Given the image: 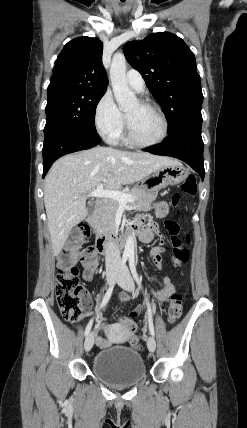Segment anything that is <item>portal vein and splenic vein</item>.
Returning a JSON list of instances; mask_svg holds the SVG:
<instances>
[{
  "instance_id": "portal-vein-and-splenic-vein-1",
  "label": "portal vein and splenic vein",
  "mask_w": 247,
  "mask_h": 428,
  "mask_svg": "<svg viewBox=\"0 0 247 428\" xmlns=\"http://www.w3.org/2000/svg\"><path fill=\"white\" fill-rule=\"evenodd\" d=\"M88 197L110 198L118 201L121 204L135 201V197L133 195H129L117 190L103 189V184L98 185L94 191L88 194Z\"/></svg>"
}]
</instances>
